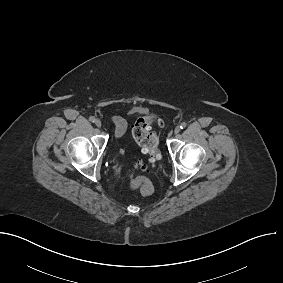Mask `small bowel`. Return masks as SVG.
Here are the masks:
<instances>
[{
	"label": "small bowel",
	"instance_id": "1",
	"mask_svg": "<svg viewBox=\"0 0 283 283\" xmlns=\"http://www.w3.org/2000/svg\"><path fill=\"white\" fill-rule=\"evenodd\" d=\"M112 121L115 125V136L117 138L123 137L127 130L126 120L123 117L115 116L113 117Z\"/></svg>",
	"mask_w": 283,
	"mask_h": 283
}]
</instances>
